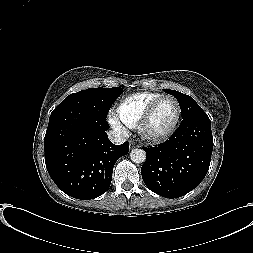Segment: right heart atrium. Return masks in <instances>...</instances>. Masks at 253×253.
<instances>
[{
  "label": "right heart atrium",
  "instance_id": "obj_1",
  "mask_svg": "<svg viewBox=\"0 0 253 253\" xmlns=\"http://www.w3.org/2000/svg\"><path fill=\"white\" fill-rule=\"evenodd\" d=\"M109 121L111 123V125L116 128L118 131H120L121 133H126V129L125 127L119 122V120L117 119V117L114 114H110L109 115Z\"/></svg>",
  "mask_w": 253,
  "mask_h": 253
}]
</instances>
